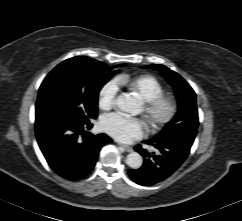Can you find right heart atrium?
I'll use <instances>...</instances> for the list:
<instances>
[{"label": "right heart atrium", "mask_w": 242, "mask_h": 221, "mask_svg": "<svg viewBox=\"0 0 242 221\" xmlns=\"http://www.w3.org/2000/svg\"><path fill=\"white\" fill-rule=\"evenodd\" d=\"M119 86L115 80L107 81L99 90L98 104L102 109H110L117 98Z\"/></svg>", "instance_id": "1"}]
</instances>
